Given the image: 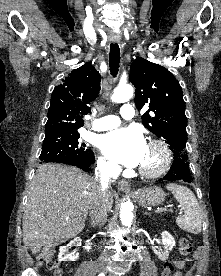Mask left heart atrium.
I'll return each instance as SVG.
<instances>
[{"label": "left heart atrium", "instance_id": "left-heart-atrium-1", "mask_svg": "<svg viewBox=\"0 0 221 276\" xmlns=\"http://www.w3.org/2000/svg\"><path fill=\"white\" fill-rule=\"evenodd\" d=\"M100 146L110 160L127 167L141 165L147 150L143 135L135 128L118 129L104 135Z\"/></svg>", "mask_w": 221, "mask_h": 276}]
</instances>
